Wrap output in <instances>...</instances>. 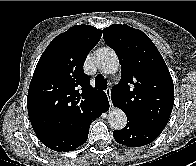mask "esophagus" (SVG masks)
<instances>
[{"mask_svg":"<svg viewBox=\"0 0 196 166\" xmlns=\"http://www.w3.org/2000/svg\"><path fill=\"white\" fill-rule=\"evenodd\" d=\"M105 93H106V94H107V96H108L110 106H112V100H111V88H107V89L105 90Z\"/></svg>","mask_w":196,"mask_h":166,"instance_id":"esophagus-1","label":"esophagus"}]
</instances>
